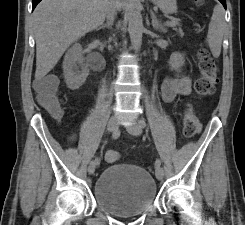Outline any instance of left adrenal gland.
<instances>
[{
	"label": "left adrenal gland",
	"mask_w": 245,
	"mask_h": 225,
	"mask_svg": "<svg viewBox=\"0 0 245 225\" xmlns=\"http://www.w3.org/2000/svg\"><path fill=\"white\" fill-rule=\"evenodd\" d=\"M151 19H152V22H151L152 23V27L155 30H158V31L163 32V33L166 32L165 26L163 25V23L161 21H159L157 19V17L155 16L153 11H151Z\"/></svg>",
	"instance_id": "left-adrenal-gland-1"
}]
</instances>
